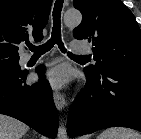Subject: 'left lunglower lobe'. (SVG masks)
I'll return each mask as SVG.
<instances>
[{
  "instance_id": "1",
  "label": "left lung lower lobe",
  "mask_w": 141,
  "mask_h": 139,
  "mask_svg": "<svg viewBox=\"0 0 141 139\" xmlns=\"http://www.w3.org/2000/svg\"><path fill=\"white\" fill-rule=\"evenodd\" d=\"M84 72L87 83L70 108L68 135L73 138L107 127L141 131V71L107 67L98 73Z\"/></svg>"
}]
</instances>
